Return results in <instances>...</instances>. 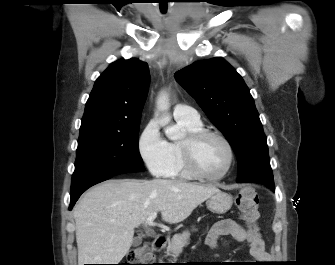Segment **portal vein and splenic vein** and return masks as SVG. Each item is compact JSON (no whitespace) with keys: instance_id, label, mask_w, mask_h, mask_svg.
<instances>
[{"instance_id":"obj_1","label":"portal vein and splenic vein","mask_w":335,"mask_h":265,"mask_svg":"<svg viewBox=\"0 0 335 265\" xmlns=\"http://www.w3.org/2000/svg\"><path fill=\"white\" fill-rule=\"evenodd\" d=\"M157 217V213H153L151 216H149L146 220V225L148 226H153L155 223H154V220L155 218Z\"/></svg>"}]
</instances>
